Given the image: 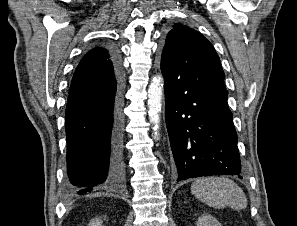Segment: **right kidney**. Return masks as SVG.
<instances>
[{"mask_svg": "<svg viewBox=\"0 0 297 226\" xmlns=\"http://www.w3.org/2000/svg\"><path fill=\"white\" fill-rule=\"evenodd\" d=\"M88 226H103L102 221L99 218H95L90 221Z\"/></svg>", "mask_w": 297, "mask_h": 226, "instance_id": "right-kidney-1", "label": "right kidney"}]
</instances>
